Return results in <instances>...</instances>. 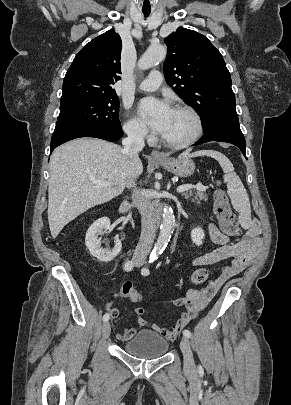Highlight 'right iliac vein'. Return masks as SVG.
<instances>
[{
  "label": "right iliac vein",
  "mask_w": 291,
  "mask_h": 405,
  "mask_svg": "<svg viewBox=\"0 0 291 405\" xmlns=\"http://www.w3.org/2000/svg\"><path fill=\"white\" fill-rule=\"evenodd\" d=\"M110 330H111L110 323L108 321H106L102 327L103 338H107L110 335Z\"/></svg>",
  "instance_id": "obj_1"
}]
</instances>
